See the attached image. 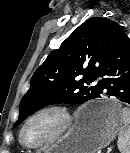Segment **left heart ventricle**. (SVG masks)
I'll return each mask as SVG.
<instances>
[{"label":"left heart ventricle","instance_id":"1","mask_svg":"<svg viewBox=\"0 0 130 153\" xmlns=\"http://www.w3.org/2000/svg\"><path fill=\"white\" fill-rule=\"evenodd\" d=\"M56 127L57 120L52 115L38 117L27 127L24 140L32 144L38 143L52 134Z\"/></svg>","mask_w":130,"mask_h":153}]
</instances>
